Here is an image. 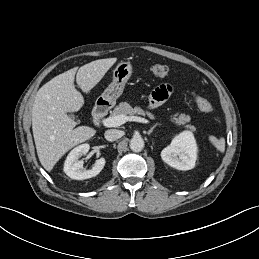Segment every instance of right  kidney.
I'll use <instances>...</instances> for the list:
<instances>
[{
    "mask_svg": "<svg viewBox=\"0 0 259 259\" xmlns=\"http://www.w3.org/2000/svg\"><path fill=\"white\" fill-rule=\"evenodd\" d=\"M90 149L89 144L75 147L67 156L64 163V172L75 180H84L98 175L105 166V158L101 157L95 161L91 169H83V161L79 158L86 155Z\"/></svg>",
    "mask_w": 259,
    "mask_h": 259,
    "instance_id": "ca27d5eb",
    "label": "right kidney"
}]
</instances>
